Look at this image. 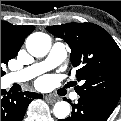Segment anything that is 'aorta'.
Listing matches in <instances>:
<instances>
[{
    "label": "aorta",
    "mask_w": 121,
    "mask_h": 121,
    "mask_svg": "<svg viewBox=\"0 0 121 121\" xmlns=\"http://www.w3.org/2000/svg\"><path fill=\"white\" fill-rule=\"evenodd\" d=\"M26 48L32 56L43 57L51 48V39L42 32L32 33L26 40ZM53 112L58 119H64L70 114V105L66 101L57 102Z\"/></svg>",
    "instance_id": "762f6f07"
}]
</instances>
